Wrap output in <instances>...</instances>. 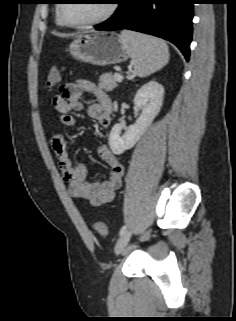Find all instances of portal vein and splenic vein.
Here are the masks:
<instances>
[{
	"mask_svg": "<svg viewBox=\"0 0 236 321\" xmlns=\"http://www.w3.org/2000/svg\"><path fill=\"white\" fill-rule=\"evenodd\" d=\"M114 78L118 81L121 82L123 80V77L120 74H115Z\"/></svg>",
	"mask_w": 236,
	"mask_h": 321,
	"instance_id": "1",
	"label": "portal vein and splenic vein"
}]
</instances>
